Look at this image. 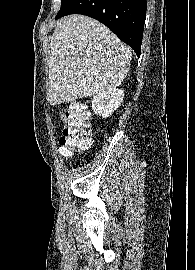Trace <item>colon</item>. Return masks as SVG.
I'll use <instances>...</instances> for the list:
<instances>
[{
  "instance_id": "1",
  "label": "colon",
  "mask_w": 195,
  "mask_h": 270,
  "mask_svg": "<svg viewBox=\"0 0 195 270\" xmlns=\"http://www.w3.org/2000/svg\"><path fill=\"white\" fill-rule=\"evenodd\" d=\"M62 136L60 138V152L70 156L74 150L87 147L91 142L90 115L86 106L79 102H72L64 113L60 115Z\"/></svg>"
}]
</instances>
